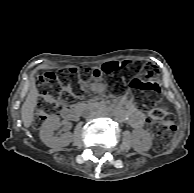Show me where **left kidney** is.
<instances>
[{
  "label": "left kidney",
  "instance_id": "5707ae66",
  "mask_svg": "<svg viewBox=\"0 0 194 193\" xmlns=\"http://www.w3.org/2000/svg\"><path fill=\"white\" fill-rule=\"evenodd\" d=\"M139 138L141 140H139ZM152 144V137L151 135L145 131L140 130L135 133V140L133 148L138 152L148 151Z\"/></svg>",
  "mask_w": 194,
  "mask_h": 193
}]
</instances>
